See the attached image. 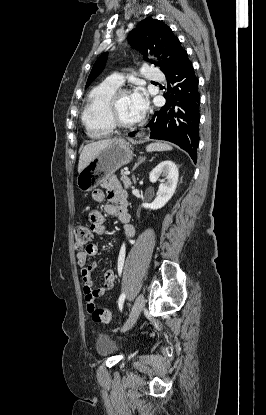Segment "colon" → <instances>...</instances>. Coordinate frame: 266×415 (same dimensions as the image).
<instances>
[{
  "instance_id": "obj_1",
  "label": "colon",
  "mask_w": 266,
  "mask_h": 415,
  "mask_svg": "<svg viewBox=\"0 0 266 415\" xmlns=\"http://www.w3.org/2000/svg\"><path fill=\"white\" fill-rule=\"evenodd\" d=\"M93 237L90 226L80 224L75 228V246L78 249L89 245ZM92 319L98 323H108L111 320V311L107 308H94L91 310Z\"/></svg>"
}]
</instances>
